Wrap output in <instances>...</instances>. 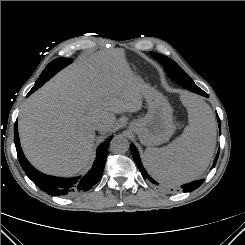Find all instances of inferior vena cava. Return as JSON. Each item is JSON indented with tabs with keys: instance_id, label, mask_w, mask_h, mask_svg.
<instances>
[{
	"instance_id": "602c4592",
	"label": "inferior vena cava",
	"mask_w": 245,
	"mask_h": 245,
	"mask_svg": "<svg viewBox=\"0 0 245 245\" xmlns=\"http://www.w3.org/2000/svg\"><path fill=\"white\" fill-rule=\"evenodd\" d=\"M104 124L102 122H99L97 125H96V128L97 129H100V128H103Z\"/></svg>"
}]
</instances>
